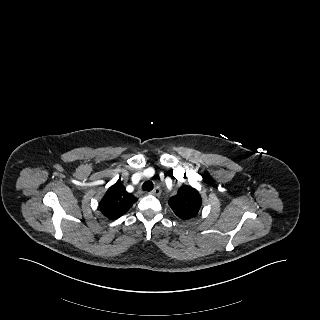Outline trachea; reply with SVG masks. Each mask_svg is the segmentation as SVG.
<instances>
[{
    "instance_id": "trachea-1",
    "label": "trachea",
    "mask_w": 320,
    "mask_h": 320,
    "mask_svg": "<svg viewBox=\"0 0 320 320\" xmlns=\"http://www.w3.org/2000/svg\"><path fill=\"white\" fill-rule=\"evenodd\" d=\"M142 189L148 192L151 191L153 189V183L151 181L144 182L142 185Z\"/></svg>"
}]
</instances>
